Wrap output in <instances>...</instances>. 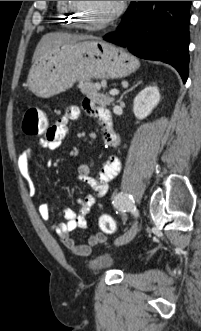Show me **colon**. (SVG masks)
<instances>
[{
    "mask_svg": "<svg viewBox=\"0 0 201 331\" xmlns=\"http://www.w3.org/2000/svg\"><path fill=\"white\" fill-rule=\"evenodd\" d=\"M22 129L23 132L29 137L45 135L48 129L45 113L36 106L29 107L24 114ZM99 226L102 232H99L89 238L88 243L90 245L104 243L105 234H112L116 231V224L114 219L107 214L100 216Z\"/></svg>",
    "mask_w": 201,
    "mask_h": 331,
    "instance_id": "obj_1",
    "label": "colon"
}]
</instances>
